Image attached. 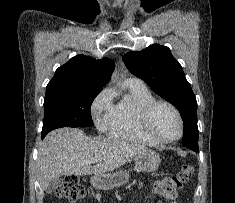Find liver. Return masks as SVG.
Returning <instances> with one entry per match:
<instances>
[{"label": "liver", "mask_w": 235, "mask_h": 203, "mask_svg": "<svg viewBox=\"0 0 235 203\" xmlns=\"http://www.w3.org/2000/svg\"><path fill=\"white\" fill-rule=\"evenodd\" d=\"M144 145L118 138L87 136L77 128L50 132L39 148L37 177L43 190L63 175L105 174L124 165ZM94 159H99L94 166Z\"/></svg>", "instance_id": "1"}]
</instances>
